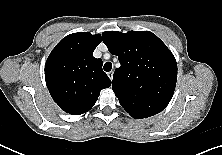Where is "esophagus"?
<instances>
[{"label":"esophagus","instance_id":"34e87169","mask_svg":"<svg viewBox=\"0 0 222 155\" xmlns=\"http://www.w3.org/2000/svg\"><path fill=\"white\" fill-rule=\"evenodd\" d=\"M113 71H110L107 73L108 77L112 80L113 79Z\"/></svg>","mask_w":222,"mask_h":155}]
</instances>
